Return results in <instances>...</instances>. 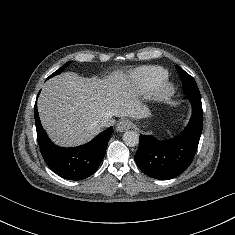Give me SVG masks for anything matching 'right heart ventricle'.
Instances as JSON below:
<instances>
[{"instance_id": "1", "label": "right heart ventricle", "mask_w": 235, "mask_h": 235, "mask_svg": "<svg viewBox=\"0 0 235 235\" xmlns=\"http://www.w3.org/2000/svg\"><path fill=\"white\" fill-rule=\"evenodd\" d=\"M168 72L160 66H140L130 73V79L138 92H150L161 80L167 78Z\"/></svg>"}]
</instances>
